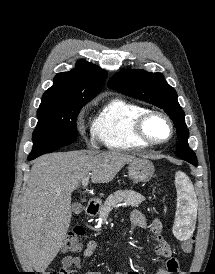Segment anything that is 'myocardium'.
<instances>
[{
	"mask_svg": "<svg viewBox=\"0 0 215 274\" xmlns=\"http://www.w3.org/2000/svg\"><path fill=\"white\" fill-rule=\"evenodd\" d=\"M155 116L161 117L162 119H164L169 126V136L166 139L161 140V141L152 139L149 136L147 129H146L147 123L149 122V120ZM134 129H135V133L139 139H141L148 145H152V146L164 145V144L168 143L174 135V124H173L172 119L166 113H164L162 111H158V110H147L144 113H142L137 118V120L135 122Z\"/></svg>",
	"mask_w": 215,
	"mask_h": 274,
	"instance_id": "1",
	"label": "myocardium"
}]
</instances>
